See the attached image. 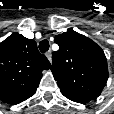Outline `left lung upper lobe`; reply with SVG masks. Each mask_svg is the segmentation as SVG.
<instances>
[{
  "mask_svg": "<svg viewBox=\"0 0 114 114\" xmlns=\"http://www.w3.org/2000/svg\"><path fill=\"white\" fill-rule=\"evenodd\" d=\"M59 50L52 55L51 71L64 96L96 99L108 79L103 50L88 37L69 30L55 36Z\"/></svg>",
  "mask_w": 114,
  "mask_h": 114,
  "instance_id": "1",
  "label": "left lung upper lobe"
}]
</instances>
